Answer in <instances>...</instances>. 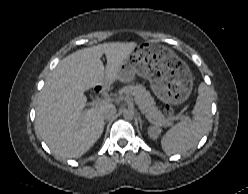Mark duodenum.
Wrapping results in <instances>:
<instances>
[{
  "mask_svg": "<svg viewBox=\"0 0 248 194\" xmlns=\"http://www.w3.org/2000/svg\"><path fill=\"white\" fill-rule=\"evenodd\" d=\"M105 88H106V87H105L104 85L97 86V87H95V88L93 89V94L96 95V96H98V95H100V94L103 92V90H104Z\"/></svg>",
  "mask_w": 248,
  "mask_h": 194,
  "instance_id": "1",
  "label": "duodenum"
}]
</instances>
